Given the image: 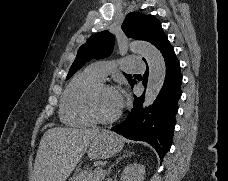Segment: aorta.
<instances>
[{
    "label": "aorta",
    "mask_w": 228,
    "mask_h": 181,
    "mask_svg": "<svg viewBox=\"0 0 228 181\" xmlns=\"http://www.w3.org/2000/svg\"><path fill=\"white\" fill-rule=\"evenodd\" d=\"M129 48L132 52L145 58L149 67V76L143 107L150 106L163 87L166 76L165 60L160 51L152 44L144 41H133Z\"/></svg>",
    "instance_id": "aorta-1"
}]
</instances>
